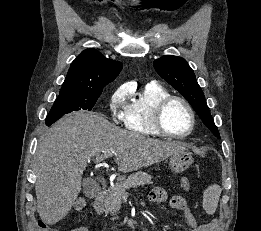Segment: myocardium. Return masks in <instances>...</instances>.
Instances as JSON below:
<instances>
[{
	"mask_svg": "<svg viewBox=\"0 0 261 231\" xmlns=\"http://www.w3.org/2000/svg\"><path fill=\"white\" fill-rule=\"evenodd\" d=\"M173 101H179L181 102L187 109L189 116H190V120H191V124L189 129L182 134H174L170 131L167 130L165 123H164V113L166 108L169 106V104H171ZM154 123L155 126L157 128V130L162 133L165 136L171 137V138H185L187 136H189L196 125V116L194 113V110L191 106V104L183 97L177 96V95H169L166 98H164L163 100H161L155 109V113H154Z\"/></svg>",
	"mask_w": 261,
	"mask_h": 231,
	"instance_id": "1",
	"label": "myocardium"
}]
</instances>
